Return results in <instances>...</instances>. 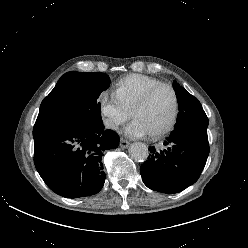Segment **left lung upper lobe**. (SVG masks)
I'll return each mask as SVG.
<instances>
[{
  "mask_svg": "<svg viewBox=\"0 0 248 248\" xmlns=\"http://www.w3.org/2000/svg\"><path fill=\"white\" fill-rule=\"evenodd\" d=\"M173 88L179 103V113L175 129L193 126L207 128L209 121L200 102L176 81L173 82Z\"/></svg>",
  "mask_w": 248,
  "mask_h": 248,
  "instance_id": "1",
  "label": "left lung upper lobe"
}]
</instances>
